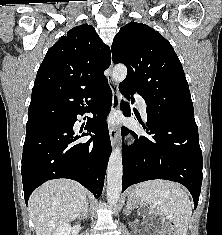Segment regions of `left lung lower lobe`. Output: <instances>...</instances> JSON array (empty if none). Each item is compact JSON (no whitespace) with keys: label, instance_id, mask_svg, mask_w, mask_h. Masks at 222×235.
Returning a JSON list of instances; mask_svg holds the SVG:
<instances>
[{"label":"left lung lower lobe","instance_id":"0a47b994","mask_svg":"<svg viewBox=\"0 0 222 235\" xmlns=\"http://www.w3.org/2000/svg\"><path fill=\"white\" fill-rule=\"evenodd\" d=\"M121 93L135 101L132 90L119 85ZM125 116H131L129 105L122 102ZM147 134L140 136L123 127L124 134L131 133L135 142L122 147L123 187L132 184L166 179L183 184L192 194L197 207L202 185V151L199 145L198 128L193 120L146 109Z\"/></svg>","mask_w":222,"mask_h":235}]
</instances>
